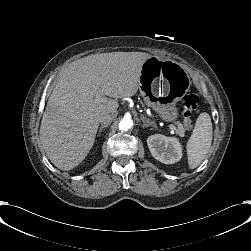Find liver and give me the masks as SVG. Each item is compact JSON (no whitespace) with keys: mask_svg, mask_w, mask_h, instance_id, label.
Returning a JSON list of instances; mask_svg holds the SVG:
<instances>
[{"mask_svg":"<svg viewBox=\"0 0 251 251\" xmlns=\"http://www.w3.org/2000/svg\"><path fill=\"white\" fill-rule=\"evenodd\" d=\"M150 57L144 52H111L70 65L50 95L41 120L40 143L52 164L69 171L84 160L100 119L114 118L117 99L137 93L143 63ZM98 95L106 101L96 103Z\"/></svg>","mask_w":251,"mask_h":251,"instance_id":"6515ba94","label":"liver"}]
</instances>
